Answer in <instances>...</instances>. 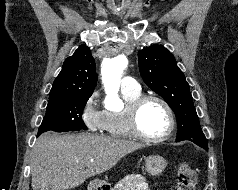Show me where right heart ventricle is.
Segmentation results:
<instances>
[{"label":"right heart ventricle","instance_id":"e07e8e85","mask_svg":"<svg viewBox=\"0 0 238 190\" xmlns=\"http://www.w3.org/2000/svg\"><path fill=\"white\" fill-rule=\"evenodd\" d=\"M122 94L126 105L120 111H106L105 131L113 137L133 138L127 123V107L133 100L141 96V91H122Z\"/></svg>","mask_w":238,"mask_h":190}]
</instances>
